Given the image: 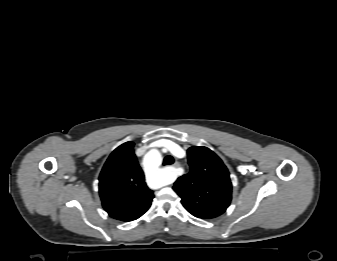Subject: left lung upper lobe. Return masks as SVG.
<instances>
[{
  "mask_svg": "<svg viewBox=\"0 0 337 261\" xmlns=\"http://www.w3.org/2000/svg\"><path fill=\"white\" fill-rule=\"evenodd\" d=\"M190 172L177 179L173 189L193 216L212 219L223 214L231 202L232 184L222 160L206 147L188 149Z\"/></svg>",
  "mask_w": 337,
  "mask_h": 261,
  "instance_id": "5c2ea615",
  "label": "left lung upper lobe"
}]
</instances>
